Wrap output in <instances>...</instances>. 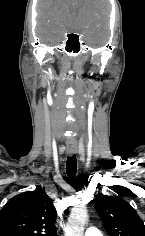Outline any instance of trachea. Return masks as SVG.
<instances>
[{
  "label": "trachea",
  "mask_w": 145,
  "mask_h": 236,
  "mask_svg": "<svg viewBox=\"0 0 145 236\" xmlns=\"http://www.w3.org/2000/svg\"><path fill=\"white\" fill-rule=\"evenodd\" d=\"M66 172L71 181H74L77 173V160L76 156L73 155L67 158L66 162Z\"/></svg>",
  "instance_id": "obj_1"
}]
</instances>
